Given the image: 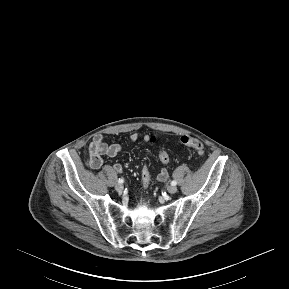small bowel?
Returning <instances> with one entry per match:
<instances>
[{
	"mask_svg": "<svg viewBox=\"0 0 289 289\" xmlns=\"http://www.w3.org/2000/svg\"><path fill=\"white\" fill-rule=\"evenodd\" d=\"M151 136L148 134L133 133L129 137L131 143H135L137 140L142 139L144 142L148 143L151 141ZM122 151V146L118 143L107 144L104 141V137L101 134L96 135L90 145L89 154L94 168H99L102 165V157H115ZM113 168L116 172L121 173L123 171V166L121 163H115ZM167 169L163 168L158 173L156 179L159 182L169 181L170 179Z\"/></svg>",
	"mask_w": 289,
	"mask_h": 289,
	"instance_id": "c3829d8e",
	"label": "small bowel"
}]
</instances>
